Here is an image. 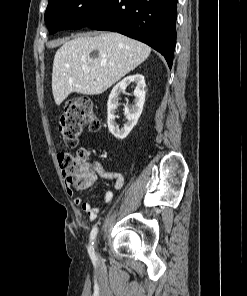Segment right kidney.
Here are the masks:
<instances>
[{
  "label": "right kidney",
  "mask_w": 247,
  "mask_h": 296,
  "mask_svg": "<svg viewBox=\"0 0 247 296\" xmlns=\"http://www.w3.org/2000/svg\"><path fill=\"white\" fill-rule=\"evenodd\" d=\"M131 83L136 85L133 93L135 96V104L131 107V109H129L127 106L125 107L124 114L127 121L122 128H119V125H117V123L115 122V113L118 107L119 96L122 92H125L126 88ZM145 87L146 84L144 76L138 73L125 77L122 81H120L113 87L107 103V123L110 133L117 139L126 138L133 127L137 124L138 118L142 113L143 105L145 102Z\"/></svg>",
  "instance_id": "ca27d5eb"
}]
</instances>
